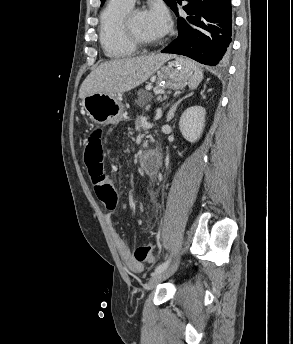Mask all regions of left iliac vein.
<instances>
[{"instance_id": "left-iliac-vein-1", "label": "left iliac vein", "mask_w": 293, "mask_h": 344, "mask_svg": "<svg viewBox=\"0 0 293 344\" xmlns=\"http://www.w3.org/2000/svg\"><path fill=\"white\" fill-rule=\"evenodd\" d=\"M178 267V262H176L172 267L165 269L161 272L155 273L151 276V278L148 281V284L146 285V289L149 291L156 287L160 282L167 279L171 275L175 273Z\"/></svg>"}]
</instances>
